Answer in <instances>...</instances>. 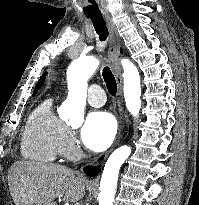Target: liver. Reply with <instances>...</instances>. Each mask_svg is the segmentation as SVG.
Returning a JSON list of instances; mask_svg holds the SVG:
<instances>
[{
  "mask_svg": "<svg viewBox=\"0 0 199 205\" xmlns=\"http://www.w3.org/2000/svg\"><path fill=\"white\" fill-rule=\"evenodd\" d=\"M15 205H56L55 199L77 202L85 195L84 179L70 168L47 162L17 161L8 172Z\"/></svg>",
  "mask_w": 199,
  "mask_h": 205,
  "instance_id": "6515ba94",
  "label": "liver"
}]
</instances>
